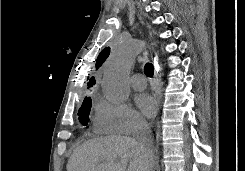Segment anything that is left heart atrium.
<instances>
[{
	"instance_id": "left-heart-atrium-1",
	"label": "left heart atrium",
	"mask_w": 245,
	"mask_h": 171,
	"mask_svg": "<svg viewBox=\"0 0 245 171\" xmlns=\"http://www.w3.org/2000/svg\"><path fill=\"white\" fill-rule=\"evenodd\" d=\"M135 102L140 111L147 117L154 115L157 110L156 99L147 93L137 95Z\"/></svg>"
}]
</instances>
